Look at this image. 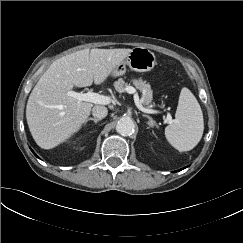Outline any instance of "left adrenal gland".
Masks as SVG:
<instances>
[{
    "mask_svg": "<svg viewBox=\"0 0 243 243\" xmlns=\"http://www.w3.org/2000/svg\"><path fill=\"white\" fill-rule=\"evenodd\" d=\"M144 117H146L149 121L147 122V124L150 126V127H154V126H157L156 122L153 120L152 117H150L149 115H145L143 114Z\"/></svg>",
    "mask_w": 243,
    "mask_h": 243,
    "instance_id": "left-adrenal-gland-1",
    "label": "left adrenal gland"
}]
</instances>
